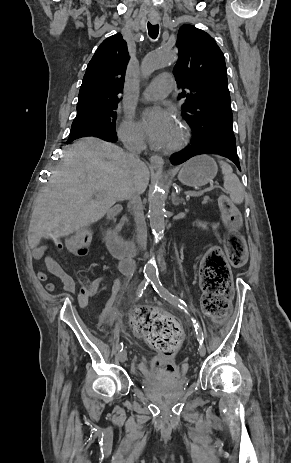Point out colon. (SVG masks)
I'll return each mask as SVG.
<instances>
[{"mask_svg": "<svg viewBox=\"0 0 291 463\" xmlns=\"http://www.w3.org/2000/svg\"><path fill=\"white\" fill-rule=\"evenodd\" d=\"M219 207L223 222L232 229L225 237L226 253L219 247L210 248L203 258L200 270L202 307L214 321L223 320L230 312L233 288L229 262L235 266L245 262L244 241L234 231L240 224V213L226 196L220 197ZM91 238L92 233L89 229H77L69 238L70 250L81 251L89 244ZM84 289L88 294L93 292L90 283H87ZM133 326L136 334L142 336L164 357H170L178 349L183 338V331L175 320L152 309L138 310L133 318ZM175 371V368L167 363L160 362L155 367V372L160 375L172 376Z\"/></svg>", "mask_w": 291, "mask_h": 463, "instance_id": "obj_1", "label": "colon"}]
</instances>
